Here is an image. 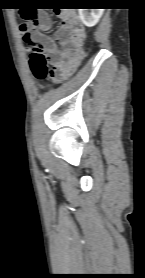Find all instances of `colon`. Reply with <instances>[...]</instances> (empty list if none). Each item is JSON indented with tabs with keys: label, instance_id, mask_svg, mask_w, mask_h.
I'll return each instance as SVG.
<instances>
[{
	"label": "colon",
	"instance_id": "colon-1",
	"mask_svg": "<svg viewBox=\"0 0 145 278\" xmlns=\"http://www.w3.org/2000/svg\"><path fill=\"white\" fill-rule=\"evenodd\" d=\"M34 17L35 14L29 10H26L23 13V18L26 20L33 19ZM22 39L30 49V67L34 78L40 81L44 80L49 76L50 72L49 64L45 54L32 35L28 33H22ZM67 76L61 78L60 81L65 80Z\"/></svg>",
	"mask_w": 145,
	"mask_h": 278
}]
</instances>
